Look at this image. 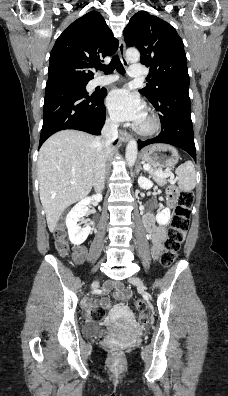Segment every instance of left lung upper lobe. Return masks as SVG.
<instances>
[{"label": "left lung upper lobe", "mask_w": 228, "mask_h": 396, "mask_svg": "<svg viewBox=\"0 0 228 396\" xmlns=\"http://www.w3.org/2000/svg\"><path fill=\"white\" fill-rule=\"evenodd\" d=\"M125 42L141 53L140 62L150 67L149 84L139 92L151 103L171 89L189 88L187 59L182 39L164 20L139 11L124 29ZM181 101H177L180 104Z\"/></svg>", "instance_id": "obj_1"}]
</instances>
